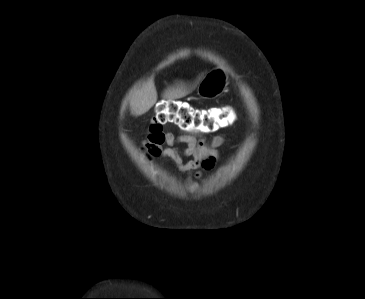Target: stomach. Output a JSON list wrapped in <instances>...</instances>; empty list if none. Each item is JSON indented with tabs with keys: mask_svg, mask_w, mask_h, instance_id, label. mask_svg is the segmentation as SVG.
Segmentation results:
<instances>
[{
	"mask_svg": "<svg viewBox=\"0 0 365 299\" xmlns=\"http://www.w3.org/2000/svg\"><path fill=\"white\" fill-rule=\"evenodd\" d=\"M228 74L223 67H217L209 71L200 81L197 94L204 99H211L226 91Z\"/></svg>",
	"mask_w": 365,
	"mask_h": 299,
	"instance_id": "stomach-1",
	"label": "stomach"
}]
</instances>
